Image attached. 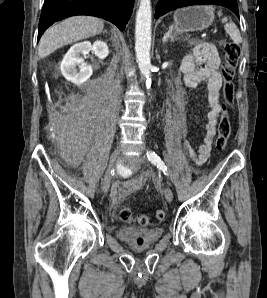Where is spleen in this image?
I'll return each instance as SVG.
<instances>
[{"instance_id":"spleen-1","label":"spleen","mask_w":267,"mask_h":298,"mask_svg":"<svg viewBox=\"0 0 267 298\" xmlns=\"http://www.w3.org/2000/svg\"><path fill=\"white\" fill-rule=\"evenodd\" d=\"M218 15L221 16L222 15L221 12H218ZM222 22L225 23L224 29L226 33L231 37L233 42L235 44L242 43V37L235 23L233 22L227 23V18H223Z\"/></svg>"}]
</instances>
